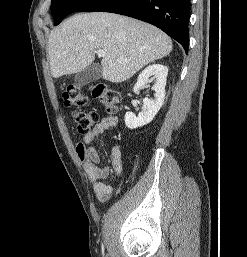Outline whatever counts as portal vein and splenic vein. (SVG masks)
I'll return each instance as SVG.
<instances>
[{
    "label": "portal vein and splenic vein",
    "instance_id": "portal-vein-and-splenic-vein-1",
    "mask_svg": "<svg viewBox=\"0 0 247 257\" xmlns=\"http://www.w3.org/2000/svg\"><path fill=\"white\" fill-rule=\"evenodd\" d=\"M97 55H98L99 57H104V56H105V52H104L103 50H98V51H97ZM121 61H123V60H121Z\"/></svg>",
    "mask_w": 247,
    "mask_h": 257
}]
</instances>
